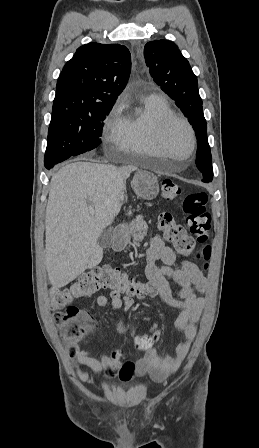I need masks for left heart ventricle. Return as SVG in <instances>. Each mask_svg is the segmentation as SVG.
<instances>
[{"instance_id":"1","label":"left heart ventricle","mask_w":259,"mask_h":448,"mask_svg":"<svg viewBox=\"0 0 259 448\" xmlns=\"http://www.w3.org/2000/svg\"><path fill=\"white\" fill-rule=\"evenodd\" d=\"M167 149L147 150L146 154L162 158L167 162H188L191 138L188 129L182 123H173L166 133Z\"/></svg>"}]
</instances>
